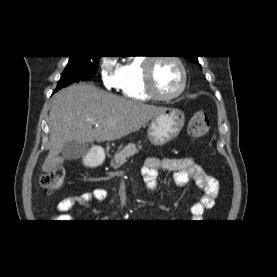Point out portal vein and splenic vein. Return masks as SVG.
<instances>
[{"instance_id":"portal-vein-and-splenic-vein-1","label":"portal vein and splenic vein","mask_w":277,"mask_h":277,"mask_svg":"<svg viewBox=\"0 0 277 277\" xmlns=\"http://www.w3.org/2000/svg\"><path fill=\"white\" fill-rule=\"evenodd\" d=\"M92 124L95 125V126H98L96 121H92Z\"/></svg>"}]
</instances>
